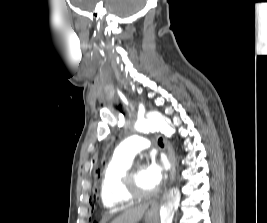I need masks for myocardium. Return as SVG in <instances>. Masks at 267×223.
<instances>
[{
    "instance_id": "f54148a6",
    "label": "myocardium",
    "mask_w": 267,
    "mask_h": 223,
    "mask_svg": "<svg viewBox=\"0 0 267 223\" xmlns=\"http://www.w3.org/2000/svg\"><path fill=\"white\" fill-rule=\"evenodd\" d=\"M141 167V164L131 165L129 169L125 172L122 179L124 194L126 198L131 201L147 200L152 198L156 194L155 190L152 192H141L137 189L135 183V172Z\"/></svg>"
}]
</instances>
